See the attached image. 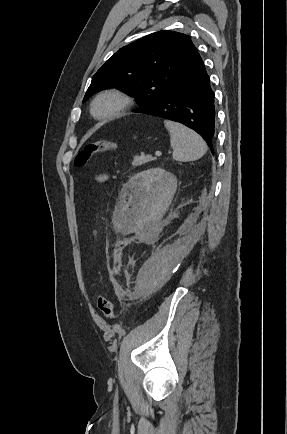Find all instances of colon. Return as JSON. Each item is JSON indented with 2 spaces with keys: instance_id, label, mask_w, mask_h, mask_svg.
<instances>
[{
  "instance_id": "1",
  "label": "colon",
  "mask_w": 287,
  "mask_h": 434,
  "mask_svg": "<svg viewBox=\"0 0 287 434\" xmlns=\"http://www.w3.org/2000/svg\"><path fill=\"white\" fill-rule=\"evenodd\" d=\"M116 146L117 144L113 141H97L89 143L76 155L74 163L76 166H84L94 156L112 151ZM97 307L106 319H112L114 317L115 307L110 298L100 296L97 300Z\"/></svg>"
}]
</instances>
